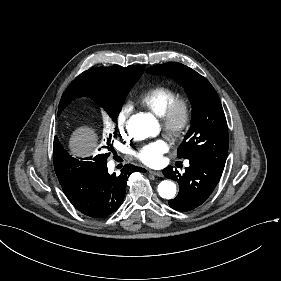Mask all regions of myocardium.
I'll return each mask as SVG.
<instances>
[{
    "label": "myocardium",
    "instance_id": "myocardium-1",
    "mask_svg": "<svg viewBox=\"0 0 281 281\" xmlns=\"http://www.w3.org/2000/svg\"><path fill=\"white\" fill-rule=\"evenodd\" d=\"M161 128L167 135L176 138L185 133L191 122L190 105L184 98H177L159 117Z\"/></svg>",
    "mask_w": 281,
    "mask_h": 281
}]
</instances>
